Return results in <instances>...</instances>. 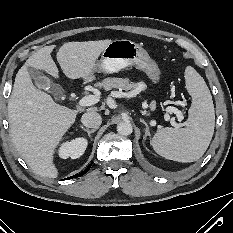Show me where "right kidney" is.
<instances>
[{
	"label": "right kidney",
	"instance_id": "1",
	"mask_svg": "<svg viewBox=\"0 0 233 233\" xmlns=\"http://www.w3.org/2000/svg\"><path fill=\"white\" fill-rule=\"evenodd\" d=\"M87 145V140L81 137L73 139L70 142H65L59 149V156L63 159L68 157L77 159L84 154Z\"/></svg>",
	"mask_w": 233,
	"mask_h": 233
}]
</instances>
